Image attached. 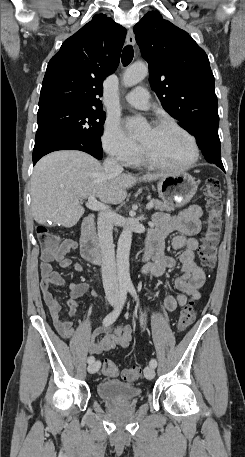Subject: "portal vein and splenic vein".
Listing matches in <instances>:
<instances>
[{"mask_svg":"<svg viewBox=\"0 0 245 457\" xmlns=\"http://www.w3.org/2000/svg\"><path fill=\"white\" fill-rule=\"evenodd\" d=\"M86 206L91 208V210H102V208H106V204L99 202L95 194H90V196H88V202H86ZM152 206H154V202H148V204H146V208H152Z\"/></svg>","mask_w":245,"mask_h":457,"instance_id":"portal-vein-and-splenic-vein-1","label":"portal vein and splenic vein"}]
</instances>
